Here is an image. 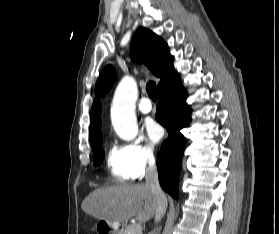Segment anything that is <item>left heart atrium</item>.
<instances>
[{"label": "left heart atrium", "instance_id": "obj_1", "mask_svg": "<svg viewBox=\"0 0 279 234\" xmlns=\"http://www.w3.org/2000/svg\"><path fill=\"white\" fill-rule=\"evenodd\" d=\"M145 129L152 142H158L163 136L162 127L152 119L146 120Z\"/></svg>", "mask_w": 279, "mask_h": 234}]
</instances>
